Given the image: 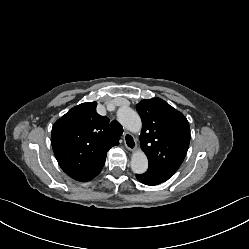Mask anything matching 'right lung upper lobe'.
Returning <instances> with one entry per match:
<instances>
[{
	"label": "right lung upper lobe",
	"instance_id": "cb5924a9",
	"mask_svg": "<svg viewBox=\"0 0 249 249\" xmlns=\"http://www.w3.org/2000/svg\"><path fill=\"white\" fill-rule=\"evenodd\" d=\"M96 102L82 103L58 119L51 144L62 170L85 182L99 174L107 151L119 144V137L108 129L109 119L96 112Z\"/></svg>",
	"mask_w": 249,
	"mask_h": 249
}]
</instances>
